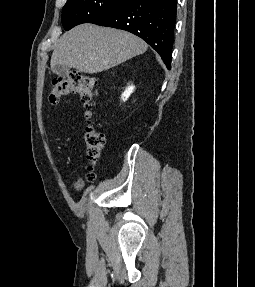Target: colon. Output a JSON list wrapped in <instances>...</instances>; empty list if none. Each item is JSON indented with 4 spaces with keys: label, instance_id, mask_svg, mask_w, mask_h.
Listing matches in <instances>:
<instances>
[{
    "label": "colon",
    "instance_id": "5ec220e1",
    "mask_svg": "<svg viewBox=\"0 0 255 287\" xmlns=\"http://www.w3.org/2000/svg\"><path fill=\"white\" fill-rule=\"evenodd\" d=\"M69 94H79L85 107H90L94 98L98 94L97 81L81 74L78 71H71L67 77L54 80L53 86L48 93L47 101L51 106H55ZM91 113L87 111L86 117L90 118ZM86 157L90 162L88 179L93 180L95 174L93 165L99 160L105 145L104 135L98 131L91 123L85 129Z\"/></svg>",
    "mask_w": 255,
    "mask_h": 287
}]
</instances>
